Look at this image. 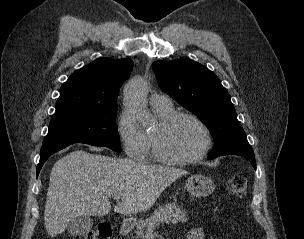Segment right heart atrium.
Here are the masks:
<instances>
[{
	"label": "right heart atrium",
	"instance_id": "right-heart-atrium-1",
	"mask_svg": "<svg viewBox=\"0 0 304 239\" xmlns=\"http://www.w3.org/2000/svg\"><path fill=\"white\" fill-rule=\"evenodd\" d=\"M117 132L128 157L135 160L147 158L150 150L147 134L127 108H123L119 114Z\"/></svg>",
	"mask_w": 304,
	"mask_h": 239
}]
</instances>
